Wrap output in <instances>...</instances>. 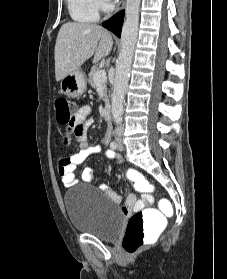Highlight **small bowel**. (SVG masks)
I'll return each mask as SVG.
<instances>
[{
  "label": "small bowel",
  "mask_w": 227,
  "mask_h": 279,
  "mask_svg": "<svg viewBox=\"0 0 227 279\" xmlns=\"http://www.w3.org/2000/svg\"><path fill=\"white\" fill-rule=\"evenodd\" d=\"M93 122L92 117L90 116L89 107H84L80 110L79 115L75 123L71 127V131L79 143V152L62 157L57 162V172L61 178L63 185L67 188L72 187L76 183H78V178L75 175L76 168L85 162V160L92 154L99 153L101 151V147L99 145H91L85 133V127L89 126ZM81 125V130L77 131L75 128ZM107 135H110L111 128H106ZM116 157L115 152L108 150L106 152L107 159H114ZM134 169L127 168L124 170V175L128 180L130 179V173L134 172ZM94 179L93 170L91 167H85L80 173V180L82 181H92ZM102 188L106 191L109 199L114 203H121V197L117 195L115 192L110 191L106 185H103ZM153 197L146 195L138 198L135 193H131L127 196L124 202V208L126 210H138L143 208L146 205L152 203Z\"/></svg>",
  "instance_id": "obj_1"
}]
</instances>
